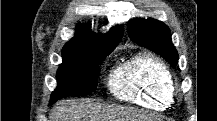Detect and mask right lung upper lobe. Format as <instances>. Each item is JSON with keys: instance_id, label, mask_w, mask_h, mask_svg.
Segmentation results:
<instances>
[{"instance_id": "cb5924a9", "label": "right lung upper lobe", "mask_w": 217, "mask_h": 121, "mask_svg": "<svg viewBox=\"0 0 217 121\" xmlns=\"http://www.w3.org/2000/svg\"><path fill=\"white\" fill-rule=\"evenodd\" d=\"M123 31V26H116L106 34H95L88 26L79 23L74 37L64 47L94 44L103 51H112L122 39Z\"/></svg>"}]
</instances>
